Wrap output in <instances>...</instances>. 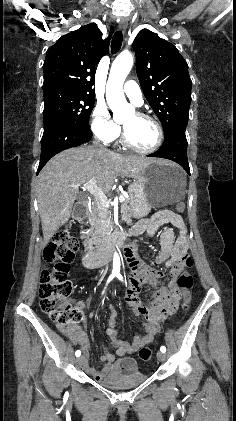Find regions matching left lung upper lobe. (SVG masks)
Returning a JSON list of instances; mask_svg holds the SVG:
<instances>
[{
  "instance_id": "obj_1",
  "label": "left lung upper lobe",
  "mask_w": 236,
  "mask_h": 421,
  "mask_svg": "<svg viewBox=\"0 0 236 421\" xmlns=\"http://www.w3.org/2000/svg\"><path fill=\"white\" fill-rule=\"evenodd\" d=\"M137 76L143 93L162 123L164 135L187 126L192 81L177 48L148 29L133 42Z\"/></svg>"
}]
</instances>
